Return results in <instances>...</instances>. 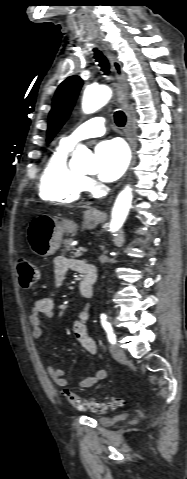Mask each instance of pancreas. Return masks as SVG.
Here are the masks:
<instances>
[{
	"label": "pancreas",
	"instance_id": "obj_1",
	"mask_svg": "<svg viewBox=\"0 0 187 479\" xmlns=\"http://www.w3.org/2000/svg\"><path fill=\"white\" fill-rule=\"evenodd\" d=\"M73 243V239L69 238V239H64L63 241V244H64V252H67V251H74V247L72 245ZM72 253V257H80L82 254L81 253H78V252H71Z\"/></svg>",
	"mask_w": 187,
	"mask_h": 479
}]
</instances>
